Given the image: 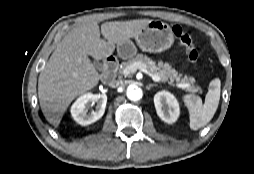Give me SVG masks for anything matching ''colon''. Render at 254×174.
<instances>
[{
	"label": "colon",
	"instance_id": "5ec220e1",
	"mask_svg": "<svg viewBox=\"0 0 254 174\" xmlns=\"http://www.w3.org/2000/svg\"><path fill=\"white\" fill-rule=\"evenodd\" d=\"M175 38L184 47L186 55L191 63H195L199 58V52L194 45L191 36L185 32L180 26H174L172 28Z\"/></svg>",
	"mask_w": 254,
	"mask_h": 174
}]
</instances>
